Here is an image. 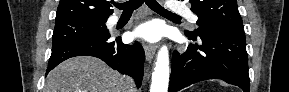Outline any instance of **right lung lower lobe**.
<instances>
[{"label": "right lung lower lobe", "mask_w": 289, "mask_h": 92, "mask_svg": "<svg viewBox=\"0 0 289 92\" xmlns=\"http://www.w3.org/2000/svg\"><path fill=\"white\" fill-rule=\"evenodd\" d=\"M109 37L80 40L52 49L46 75L68 58L87 55L100 58L120 73L132 76L137 87H140L145 57L142 46L138 42L132 45L123 44L121 39L111 41Z\"/></svg>", "instance_id": "right-lung-lower-lobe-1"}]
</instances>
